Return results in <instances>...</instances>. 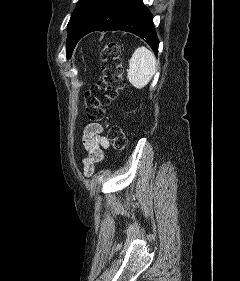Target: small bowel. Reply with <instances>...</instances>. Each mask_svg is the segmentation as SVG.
Here are the masks:
<instances>
[{
  "label": "small bowel",
  "mask_w": 240,
  "mask_h": 281,
  "mask_svg": "<svg viewBox=\"0 0 240 281\" xmlns=\"http://www.w3.org/2000/svg\"><path fill=\"white\" fill-rule=\"evenodd\" d=\"M83 146L87 152L83 160V170L86 177H90L95 165L104 159V150L110 146L109 139L103 134V128L99 123H89L84 128Z\"/></svg>",
  "instance_id": "1"
}]
</instances>
